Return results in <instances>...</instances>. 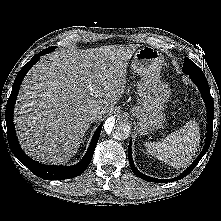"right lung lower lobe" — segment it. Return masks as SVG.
I'll return each instance as SVG.
<instances>
[{"mask_svg":"<svg viewBox=\"0 0 221 221\" xmlns=\"http://www.w3.org/2000/svg\"><path fill=\"white\" fill-rule=\"evenodd\" d=\"M51 51L49 50H43L36 54L18 73L16 76V79L14 81L11 95L8 99L7 105H6V112H5V117H6V125H7V138H8V144L9 147L14 154V156L22 162L27 168L31 170L33 174L36 176L46 179V180H64V179H69L76 177L80 174H82L86 168L88 167L93 154L95 147L97 145L100 132L102 129L103 124H101L97 130L95 131L92 141L90 143V146L83 157V159L77 163L74 166H50V165H44V164H39L38 162L30 159L21 149L15 128H14V123H13V110H14V104L16 101L17 94L20 89L21 82L26 75V73L29 71V69L40 59V56L49 53Z\"/></svg>","mask_w":221,"mask_h":221,"instance_id":"98d812e1","label":"right lung lower lobe"}]
</instances>
